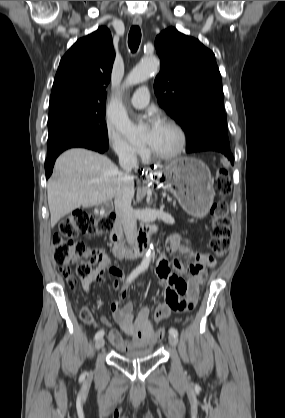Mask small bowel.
Returning <instances> with one entry per match:
<instances>
[{
	"instance_id": "small-bowel-1",
	"label": "small bowel",
	"mask_w": 285,
	"mask_h": 418,
	"mask_svg": "<svg viewBox=\"0 0 285 418\" xmlns=\"http://www.w3.org/2000/svg\"><path fill=\"white\" fill-rule=\"evenodd\" d=\"M165 246L171 253H179L183 258L194 260L195 263L190 266H183L178 260H168L159 258L156 263V277L153 286L163 291L165 301L159 304L154 313L153 319L161 321L167 319L172 313L184 312L187 310L186 303L195 302L198 299L199 290L204 284L207 273L205 265L207 257L190 250L182 245L181 240L177 236H170L165 241ZM106 274L114 277L112 284L118 288L120 295L111 305V311L122 331L131 337L130 341H124L118 330H116L106 317H101V321L109 328L108 337L115 348L122 352H126L133 347H146L154 343V328L151 322L150 310L143 307L140 311L133 314V304L124 303L127 297V279L124 277L123 271L116 265L105 259L93 268L89 278L83 279V286L89 290L94 282L105 283ZM187 274L188 278L183 277ZM71 281V284H69ZM66 282L70 288L75 287V278L67 274ZM81 319L88 325L94 323L91 311L88 307H83L80 311Z\"/></svg>"
}]
</instances>
